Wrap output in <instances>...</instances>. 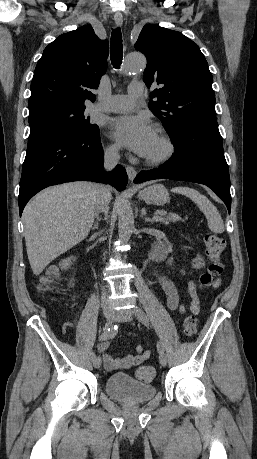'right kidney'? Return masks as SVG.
Here are the masks:
<instances>
[{
    "label": "right kidney",
    "mask_w": 257,
    "mask_h": 459,
    "mask_svg": "<svg viewBox=\"0 0 257 459\" xmlns=\"http://www.w3.org/2000/svg\"><path fill=\"white\" fill-rule=\"evenodd\" d=\"M69 286H71V287L74 286V284L72 283V280H71V282L69 283Z\"/></svg>",
    "instance_id": "obj_1"
}]
</instances>
